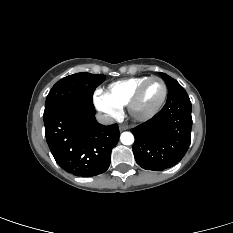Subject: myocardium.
<instances>
[{
	"mask_svg": "<svg viewBox=\"0 0 233 233\" xmlns=\"http://www.w3.org/2000/svg\"><path fill=\"white\" fill-rule=\"evenodd\" d=\"M153 80H158L161 82V84L163 86L162 96H161L160 100L158 101V103L152 109L145 111V112H139L137 109V106H138V103H139L140 98L142 96V93H143L145 87L148 85V83H150ZM167 93H168L167 85L161 77H158V76L148 77L146 80H144L136 88L133 95L131 96V98L127 104L128 113L130 114V116L133 119H135L137 121L148 120L149 118L153 117L161 109V107L163 106V104L166 100Z\"/></svg>",
	"mask_w": 233,
	"mask_h": 233,
	"instance_id": "myocardium-1",
	"label": "myocardium"
}]
</instances>
